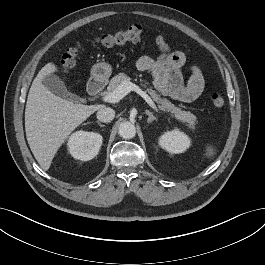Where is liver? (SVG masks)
I'll return each mask as SVG.
<instances>
[{
    "label": "liver",
    "mask_w": 265,
    "mask_h": 265,
    "mask_svg": "<svg viewBox=\"0 0 265 265\" xmlns=\"http://www.w3.org/2000/svg\"><path fill=\"white\" fill-rule=\"evenodd\" d=\"M58 68L47 63L34 79L25 109V132L29 147L43 170H48L60 146L75 130L102 105H83L63 99L42 83Z\"/></svg>",
    "instance_id": "obj_1"
}]
</instances>
